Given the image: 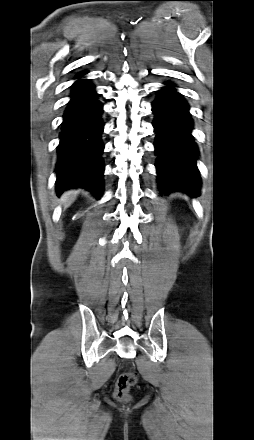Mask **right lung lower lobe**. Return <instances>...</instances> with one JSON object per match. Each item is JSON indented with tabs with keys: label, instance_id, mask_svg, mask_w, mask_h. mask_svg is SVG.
<instances>
[{
	"label": "right lung lower lobe",
	"instance_id": "obj_1",
	"mask_svg": "<svg viewBox=\"0 0 254 440\" xmlns=\"http://www.w3.org/2000/svg\"><path fill=\"white\" fill-rule=\"evenodd\" d=\"M70 97L57 149L56 190L60 195L69 188L82 187L100 196L104 185L102 105L94 86L86 79L74 83Z\"/></svg>",
	"mask_w": 254,
	"mask_h": 440
}]
</instances>
